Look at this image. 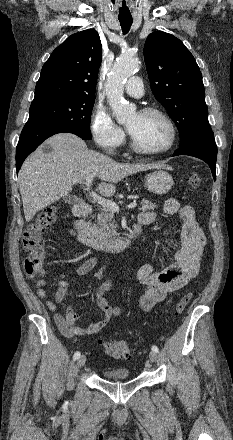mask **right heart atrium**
<instances>
[{
    "instance_id": "1",
    "label": "right heart atrium",
    "mask_w": 233,
    "mask_h": 440,
    "mask_svg": "<svg viewBox=\"0 0 233 440\" xmlns=\"http://www.w3.org/2000/svg\"><path fill=\"white\" fill-rule=\"evenodd\" d=\"M90 130L95 143L105 152L114 153L125 142V132L102 107H95L90 119Z\"/></svg>"
}]
</instances>
